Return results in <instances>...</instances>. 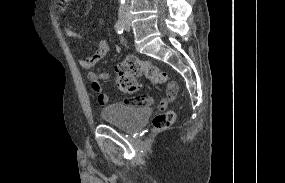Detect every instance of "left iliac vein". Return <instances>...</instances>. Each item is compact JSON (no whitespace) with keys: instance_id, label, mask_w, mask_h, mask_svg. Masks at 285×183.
Instances as JSON below:
<instances>
[{"instance_id":"left-iliac-vein-1","label":"left iliac vein","mask_w":285,"mask_h":183,"mask_svg":"<svg viewBox=\"0 0 285 183\" xmlns=\"http://www.w3.org/2000/svg\"><path fill=\"white\" fill-rule=\"evenodd\" d=\"M125 23H124V27L126 31H130L131 30V25H130V21L128 18L125 19Z\"/></svg>"}]
</instances>
